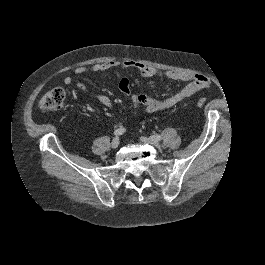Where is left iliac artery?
<instances>
[{
  "label": "left iliac artery",
  "mask_w": 265,
  "mask_h": 265,
  "mask_svg": "<svg viewBox=\"0 0 265 265\" xmlns=\"http://www.w3.org/2000/svg\"><path fill=\"white\" fill-rule=\"evenodd\" d=\"M151 139L152 140H154V141H156V142H158V141H160L161 139H162V137L160 136V135H152L151 136Z\"/></svg>",
  "instance_id": "left-iliac-artery-1"
}]
</instances>
